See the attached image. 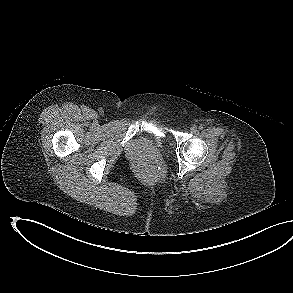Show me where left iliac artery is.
I'll return each instance as SVG.
<instances>
[{
    "mask_svg": "<svg viewBox=\"0 0 293 293\" xmlns=\"http://www.w3.org/2000/svg\"><path fill=\"white\" fill-rule=\"evenodd\" d=\"M202 129H203V126H202V125H200V126H199V130H202Z\"/></svg>",
    "mask_w": 293,
    "mask_h": 293,
    "instance_id": "1",
    "label": "left iliac artery"
}]
</instances>
